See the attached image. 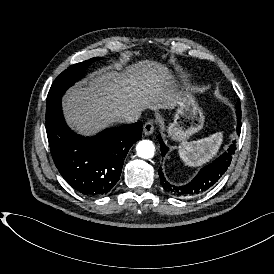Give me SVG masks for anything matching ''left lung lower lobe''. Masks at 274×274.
<instances>
[{"instance_id": "0a47b994", "label": "left lung lower lobe", "mask_w": 274, "mask_h": 274, "mask_svg": "<svg viewBox=\"0 0 274 274\" xmlns=\"http://www.w3.org/2000/svg\"><path fill=\"white\" fill-rule=\"evenodd\" d=\"M237 110V133L240 135L241 131V104L238 100L236 104ZM160 150L164 156L168 147L164 144L162 138L159 136ZM236 141L229 146L226 152H224L218 159L205 166L200 170L198 175L188 184L184 186H174L166 181L162 169L158 170L160 177V183L163 188L169 191L171 194L180 197H194L206 193L226 172L228 166L231 163L232 156L235 153Z\"/></svg>"}]
</instances>
